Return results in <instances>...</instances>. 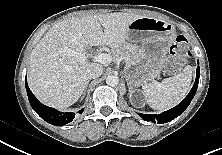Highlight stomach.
Returning a JSON list of instances; mask_svg holds the SVG:
<instances>
[{"instance_id": "stomach-1", "label": "stomach", "mask_w": 222, "mask_h": 155, "mask_svg": "<svg viewBox=\"0 0 222 155\" xmlns=\"http://www.w3.org/2000/svg\"><path fill=\"white\" fill-rule=\"evenodd\" d=\"M175 36V27L162 19L143 16L130 24L127 41L140 46L134 44L132 59L125 66L128 85H142L160 74Z\"/></svg>"}]
</instances>
